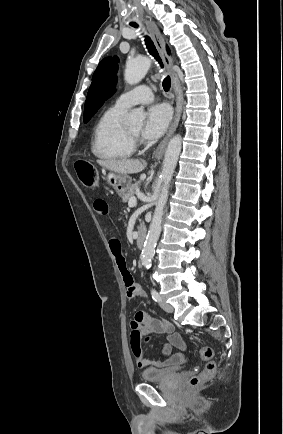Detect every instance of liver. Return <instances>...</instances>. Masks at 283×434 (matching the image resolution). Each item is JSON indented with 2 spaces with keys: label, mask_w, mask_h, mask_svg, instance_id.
I'll list each match as a JSON object with an SVG mask.
<instances>
[{
  "label": "liver",
  "mask_w": 283,
  "mask_h": 434,
  "mask_svg": "<svg viewBox=\"0 0 283 434\" xmlns=\"http://www.w3.org/2000/svg\"><path fill=\"white\" fill-rule=\"evenodd\" d=\"M97 163L112 172L120 174H135L145 168V165L137 159L98 160Z\"/></svg>",
  "instance_id": "6515ba94"
}]
</instances>
